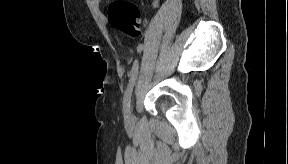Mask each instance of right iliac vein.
I'll return each mask as SVG.
<instances>
[{"instance_id":"63e3f726","label":"right iliac vein","mask_w":288,"mask_h":164,"mask_svg":"<svg viewBox=\"0 0 288 164\" xmlns=\"http://www.w3.org/2000/svg\"><path fill=\"white\" fill-rule=\"evenodd\" d=\"M131 110H132V108L129 107L128 110H127L126 113H125V120H126V121H130L131 118H132Z\"/></svg>"}]
</instances>
